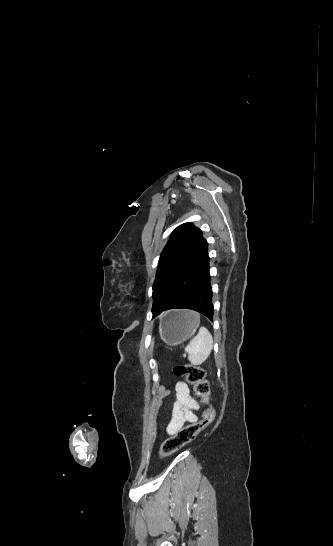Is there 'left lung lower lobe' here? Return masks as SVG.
Instances as JSON below:
<instances>
[{
  "label": "left lung lower lobe",
  "mask_w": 333,
  "mask_h": 546,
  "mask_svg": "<svg viewBox=\"0 0 333 546\" xmlns=\"http://www.w3.org/2000/svg\"><path fill=\"white\" fill-rule=\"evenodd\" d=\"M208 243L199 255L176 277L171 284L160 313L174 308L197 311L213 320L212 285L209 273Z\"/></svg>",
  "instance_id": "1"
}]
</instances>
